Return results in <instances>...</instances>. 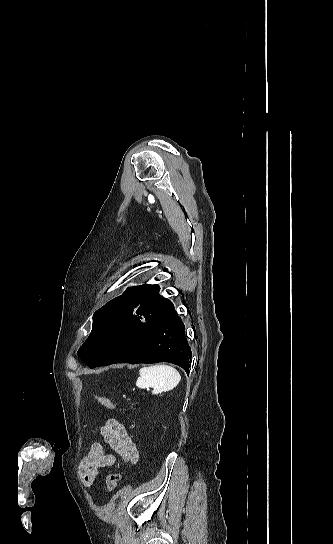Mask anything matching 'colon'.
Masks as SVG:
<instances>
[{
	"instance_id": "colon-1",
	"label": "colon",
	"mask_w": 333,
	"mask_h": 544,
	"mask_svg": "<svg viewBox=\"0 0 333 544\" xmlns=\"http://www.w3.org/2000/svg\"><path fill=\"white\" fill-rule=\"evenodd\" d=\"M95 398L105 408L110 409V410H116L117 409L116 404L114 402H112L109 398H107L105 396H101V395H96ZM120 479H121V474H120L119 471H114V472L109 473L106 476L107 489L109 491H114L117 488Z\"/></svg>"
}]
</instances>
